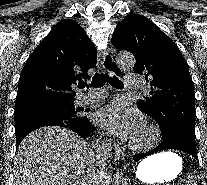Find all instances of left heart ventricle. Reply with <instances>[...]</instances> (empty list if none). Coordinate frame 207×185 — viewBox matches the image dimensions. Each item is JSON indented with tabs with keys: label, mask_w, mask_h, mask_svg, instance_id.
I'll use <instances>...</instances> for the list:
<instances>
[{
	"label": "left heart ventricle",
	"mask_w": 207,
	"mask_h": 185,
	"mask_svg": "<svg viewBox=\"0 0 207 185\" xmlns=\"http://www.w3.org/2000/svg\"><path fill=\"white\" fill-rule=\"evenodd\" d=\"M154 137L151 136V134L143 127L138 134L133 138L138 144L144 145L147 141L150 139H153Z\"/></svg>",
	"instance_id": "obj_1"
}]
</instances>
